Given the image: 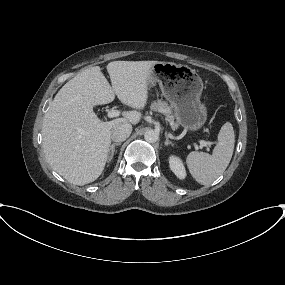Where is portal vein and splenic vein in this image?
<instances>
[{"label":"portal vein and splenic vein","mask_w":285,"mask_h":285,"mask_svg":"<svg viewBox=\"0 0 285 285\" xmlns=\"http://www.w3.org/2000/svg\"><path fill=\"white\" fill-rule=\"evenodd\" d=\"M119 115H120V112H119L118 110H114V109L110 110V111L108 112V114H107V116H108L109 118L118 117ZM210 144H211V143H209V142H207V141H205V140H200V145H201L202 147H208V146H210Z\"/></svg>","instance_id":"18ae733b"}]
</instances>
